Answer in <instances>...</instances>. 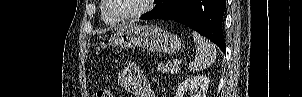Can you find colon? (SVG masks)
<instances>
[{"instance_id": "obj_1", "label": "colon", "mask_w": 302, "mask_h": 97, "mask_svg": "<svg viewBox=\"0 0 302 97\" xmlns=\"http://www.w3.org/2000/svg\"><path fill=\"white\" fill-rule=\"evenodd\" d=\"M97 97H112V93L108 88H102L98 91Z\"/></svg>"}]
</instances>
